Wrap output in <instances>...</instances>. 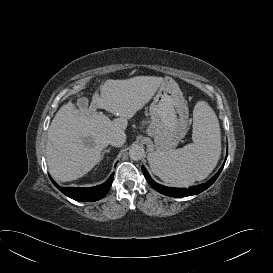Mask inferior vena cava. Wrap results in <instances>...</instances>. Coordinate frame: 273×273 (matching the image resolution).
I'll use <instances>...</instances> for the list:
<instances>
[{
    "label": "inferior vena cava",
    "mask_w": 273,
    "mask_h": 273,
    "mask_svg": "<svg viewBox=\"0 0 273 273\" xmlns=\"http://www.w3.org/2000/svg\"><path fill=\"white\" fill-rule=\"evenodd\" d=\"M126 140V135L122 130H115L108 135V143L113 146H121Z\"/></svg>",
    "instance_id": "inferior-vena-cava-1"
}]
</instances>
